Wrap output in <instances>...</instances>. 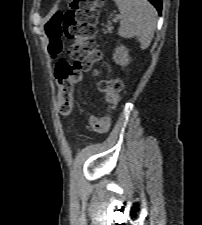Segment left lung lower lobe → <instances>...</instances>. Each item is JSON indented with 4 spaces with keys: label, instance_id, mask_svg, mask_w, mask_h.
<instances>
[{
    "label": "left lung lower lobe",
    "instance_id": "0a47b994",
    "mask_svg": "<svg viewBox=\"0 0 202 225\" xmlns=\"http://www.w3.org/2000/svg\"><path fill=\"white\" fill-rule=\"evenodd\" d=\"M152 3V5H154V7L158 10L159 13H161V9H162V2L161 0H148Z\"/></svg>",
    "mask_w": 202,
    "mask_h": 225
}]
</instances>
